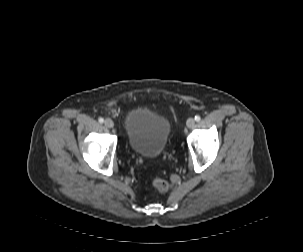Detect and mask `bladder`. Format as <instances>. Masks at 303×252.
<instances>
[{
    "mask_svg": "<svg viewBox=\"0 0 303 252\" xmlns=\"http://www.w3.org/2000/svg\"><path fill=\"white\" fill-rule=\"evenodd\" d=\"M124 125L129 148L143 158H157L169 143V121L152 111L133 109L127 113Z\"/></svg>",
    "mask_w": 303,
    "mask_h": 252,
    "instance_id": "1",
    "label": "bladder"
}]
</instances>
